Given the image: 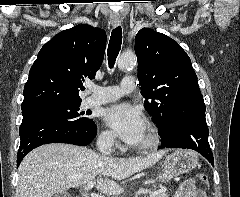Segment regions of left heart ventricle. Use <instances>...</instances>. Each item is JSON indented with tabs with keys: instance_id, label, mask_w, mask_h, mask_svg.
<instances>
[{
	"instance_id": "1",
	"label": "left heart ventricle",
	"mask_w": 240,
	"mask_h": 197,
	"mask_svg": "<svg viewBox=\"0 0 240 197\" xmlns=\"http://www.w3.org/2000/svg\"><path fill=\"white\" fill-rule=\"evenodd\" d=\"M148 138V134H147V130H145L143 136L141 137V139L136 143L137 144H141V143H144Z\"/></svg>"
}]
</instances>
